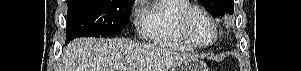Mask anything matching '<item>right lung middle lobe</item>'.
<instances>
[{
  "mask_svg": "<svg viewBox=\"0 0 301 71\" xmlns=\"http://www.w3.org/2000/svg\"><path fill=\"white\" fill-rule=\"evenodd\" d=\"M134 0H67V42L77 37L120 34Z\"/></svg>",
  "mask_w": 301,
  "mask_h": 71,
  "instance_id": "1",
  "label": "right lung middle lobe"
}]
</instances>
